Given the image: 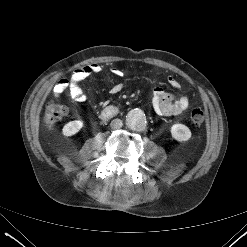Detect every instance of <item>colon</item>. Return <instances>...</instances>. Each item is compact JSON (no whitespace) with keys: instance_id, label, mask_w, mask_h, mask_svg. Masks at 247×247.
Segmentation results:
<instances>
[{"instance_id":"obj_1","label":"colon","mask_w":247,"mask_h":247,"mask_svg":"<svg viewBox=\"0 0 247 247\" xmlns=\"http://www.w3.org/2000/svg\"><path fill=\"white\" fill-rule=\"evenodd\" d=\"M67 114V109L54 101H48L44 109V122L48 128H53L61 121ZM191 125L199 129L205 121V112L200 108H195L191 111L190 116Z\"/></svg>"}]
</instances>
